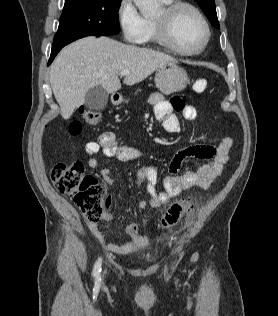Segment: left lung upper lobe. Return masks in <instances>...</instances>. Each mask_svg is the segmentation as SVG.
<instances>
[{
  "label": "left lung upper lobe",
  "mask_w": 278,
  "mask_h": 316,
  "mask_svg": "<svg viewBox=\"0 0 278 316\" xmlns=\"http://www.w3.org/2000/svg\"><path fill=\"white\" fill-rule=\"evenodd\" d=\"M215 28H220L214 0H195Z\"/></svg>",
  "instance_id": "5c2ea615"
}]
</instances>
